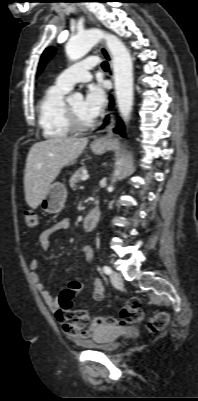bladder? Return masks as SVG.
I'll return each instance as SVG.
<instances>
[{
    "label": "bladder",
    "instance_id": "bladder-1",
    "mask_svg": "<svg viewBox=\"0 0 198 401\" xmlns=\"http://www.w3.org/2000/svg\"><path fill=\"white\" fill-rule=\"evenodd\" d=\"M123 332V328L118 326L103 327L94 339L87 341L85 347L95 351L114 353L118 350V336Z\"/></svg>",
    "mask_w": 198,
    "mask_h": 401
}]
</instances>
